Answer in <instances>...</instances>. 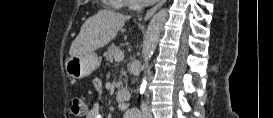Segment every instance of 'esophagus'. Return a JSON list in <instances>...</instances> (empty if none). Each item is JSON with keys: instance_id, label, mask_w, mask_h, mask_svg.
I'll list each match as a JSON object with an SVG mask.
<instances>
[{"instance_id": "1", "label": "esophagus", "mask_w": 273, "mask_h": 118, "mask_svg": "<svg viewBox=\"0 0 273 118\" xmlns=\"http://www.w3.org/2000/svg\"><path fill=\"white\" fill-rule=\"evenodd\" d=\"M165 2L166 0H160L154 7L149 9L144 17V20L147 21L148 19H150Z\"/></svg>"}]
</instances>
